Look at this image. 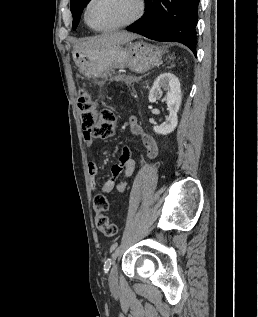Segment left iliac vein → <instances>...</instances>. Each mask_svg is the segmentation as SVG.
Segmentation results:
<instances>
[{
	"label": "left iliac vein",
	"mask_w": 258,
	"mask_h": 317,
	"mask_svg": "<svg viewBox=\"0 0 258 317\" xmlns=\"http://www.w3.org/2000/svg\"><path fill=\"white\" fill-rule=\"evenodd\" d=\"M118 265H119L118 263L113 265L112 272L109 274L110 278H114V279L117 278V276H118V272H117Z\"/></svg>",
	"instance_id": "4c4485c4"
}]
</instances>
